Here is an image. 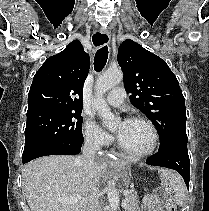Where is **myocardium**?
Returning a JSON list of instances; mask_svg holds the SVG:
<instances>
[{"label":"myocardium","mask_w":209,"mask_h":211,"mask_svg":"<svg viewBox=\"0 0 209 211\" xmlns=\"http://www.w3.org/2000/svg\"><path fill=\"white\" fill-rule=\"evenodd\" d=\"M131 121H137V122H141L143 124H145L150 132H151V143L149 145L148 148H146L145 150H141V151H132L129 150L127 148H125L119 141L117 142V146L119 148L120 151H122L123 153L131 156V157H135V158H142V157H146L151 155L158 147L159 144V133L158 130L155 126V124L148 118L144 117V116H134Z\"/></svg>","instance_id":"1"}]
</instances>
